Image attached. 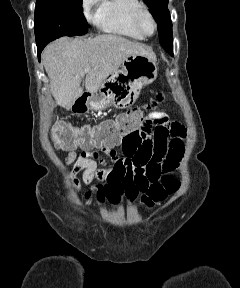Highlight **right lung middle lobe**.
Returning <instances> with one entry per match:
<instances>
[{
	"instance_id": "right-lung-middle-lobe-1",
	"label": "right lung middle lobe",
	"mask_w": 240,
	"mask_h": 288,
	"mask_svg": "<svg viewBox=\"0 0 240 288\" xmlns=\"http://www.w3.org/2000/svg\"><path fill=\"white\" fill-rule=\"evenodd\" d=\"M81 6L82 0H37L34 21L37 46L61 36L87 33Z\"/></svg>"
}]
</instances>
